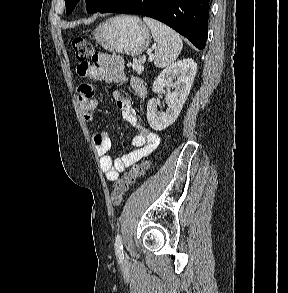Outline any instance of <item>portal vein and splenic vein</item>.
I'll list each match as a JSON object with an SVG mask.
<instances>
[{"mask_svg":"<svg viewBox=\"0 0 288 293\" xmlns=\"http://www.w3.org/2000/svg\"><path fill=\"white\" fill-rule=\"evenodd\" d=\"M149 59L152 60V56H150ZM132 68L138 73H141L144 70V67L141 64L133 65Z\"/></svg>","mask_w":288,"mask_h":293,"instance_id":"1","label":"portal vein and splenic vein"}]
</instances>
